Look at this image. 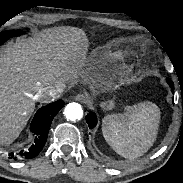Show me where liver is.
I'll use <instances>...</instances> for the list:
<instances>
[{
	"mask_svg": "<svg viewBox=\"0 0 183 183\" xmlns=\"http://www.w3.org/2000/svg\"><path fill=\"white\" fill-rule=\"evenodd\" d=\"M88 40L74 27L49 29L4 49L0 56V143L13 141L35 109L36 93L81 79L95 84L100 64L87 57Z\"/></svg>",
	"mask_w": 183,
	"mask_h": 183,
	"instance_id": "liver-1",
	"label": "liver"
}]
</instances>
